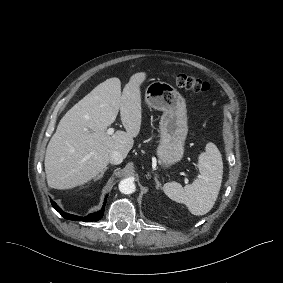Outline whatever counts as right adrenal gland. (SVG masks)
Wrapping results in <instances>:
<instances>
[{
	"instance_id": "2a0ac1e0",
	"label": "right adrenal gland",
	"mask_w": 283,
	"mask_h": 283,
	"mask_svg": "<svg viewBox=\"0 0 283 283\" xmlns=\"http://www.w3.org/2000/svg\"><path fill=\"white\" fill-rule=\"evenodd\" d=\"M107 169H109V167H105L100 174H98L96 177H94V181H97L99 179H101L104 175V173L107 171Z\"/></svg>"
}]
</instances>
